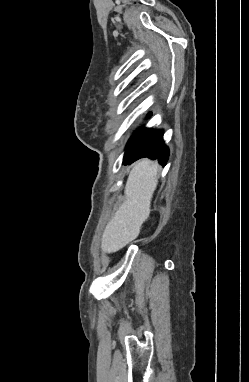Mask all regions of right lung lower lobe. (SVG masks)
I'll return each mask as SVG.
<instances>
[{"label": "right lung lower lobe", "mask_w": 249, "mask_h": 382, "mask_svg": "<svg viewBox=\"0 0 249 382\" xmlns=\"http://www.w3.org/2000/svg\"><path fill=\"white\" fill-rule=\"evenodd\" d=\"M151 113L148 114V117ZM169 156V149L163 141V132L161 130H152L141 128L129 140L124 163H130L137 159L148 157L152 160H158L161 164H166Z\"/></svg>", "instance_id": "98d812e1"}]
</instances>
